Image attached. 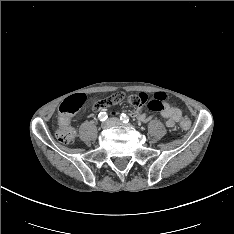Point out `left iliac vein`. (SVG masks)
I'll return each mask as SVG.
<instances>
[{"label": "left iliac vein", "instance_id": "4c4485c4", "mask_svg": "<svg viewBox=\"0 0 234 234\" xmlns=\"http://www.w3.org/2000/svg\"><path fill=\"white\" fill-rule=\"evenodd\" d=\"M109 121L111 122V124L113 126H120L121 125V122L118 118H111Z\"/></svg>", "mask_w": 234, "mask_h": 234}]
</instances>
